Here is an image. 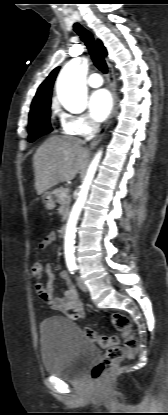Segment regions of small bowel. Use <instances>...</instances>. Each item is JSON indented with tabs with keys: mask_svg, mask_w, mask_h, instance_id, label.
<instances>
[{
	"mask_svg": "<svg viewBox=\"0 0 168 415\" xmlns=\"http://www.w3.org/2000/svg\"><path fill=\"white\" fill-rule=\"evenodd\" d=\"M56 240V234L50 232L40 243L39 247L43 250L49 248ZM43 275L48 277L47 284L44 286L42 283H34L35 289L42 300H44L52 310L60 312L67 316L71 320H79L84 318L85 311L82 300L79 297L78 291L73 285L69 274L66 271H62L59 277L62 279L67 289L59 297L53 296V289L55 283V273L53 272L52 265L45 263L42 269Z\"/></svg>",
	"mask_w": 168,
	"mask_h": 415,
	"instance_id": "obj_1",
	"label": "small bowel"
}]
</instances>
